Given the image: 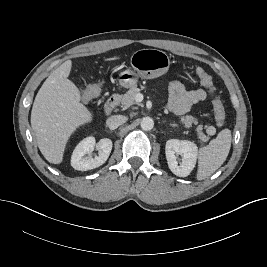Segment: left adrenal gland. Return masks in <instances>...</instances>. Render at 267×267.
Here are the masks:
<instances>
[{
  "label": "left adrenal gland",
  "instance_id": "left-adrenal-gland-1",
  "mask_svg": "<svg viewBox=\"0 0 267 267\" xmlns=\"http://www.w3.org/2000/svg\"><path fill=\"white\" fill-rule=\"evenodd\" d=\"M170 126H172V127H176V125H175V124H170Z\"/></svg>",
  "mask_w": 267,
  "mask_h": 267
}]
</instances>
